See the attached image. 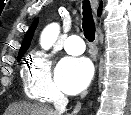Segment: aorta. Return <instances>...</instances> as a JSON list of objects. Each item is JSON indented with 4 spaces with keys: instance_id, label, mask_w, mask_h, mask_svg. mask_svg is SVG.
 Masks as SVG:
<instances>
[{
    "instance_id": "1",
    "label": "aorta",
    "mask_w": 131,
    "mask_h": 115,
    "mask_svg": "<svg viewBox=\"0 0 131 115\" xmlns=\"http://www.w3.org/2000/svg\"><path fill=\"white\" fill-rule=\"evenodd\" d=\"M60 33V26L57 23L48 25L42 32L40 38L41 47L48 50L57 40Z\"/></svg>"
}]
</instances>
